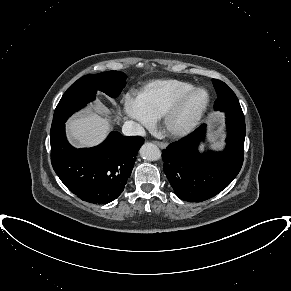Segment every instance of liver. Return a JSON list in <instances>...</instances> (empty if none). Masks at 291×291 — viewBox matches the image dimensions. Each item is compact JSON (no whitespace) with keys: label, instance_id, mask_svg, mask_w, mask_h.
I'll return each instance as SVG.
<instances>
[{"label":"liver","instance_id":"6515ba94","mask_svg":"<svg viewBox=\"0 0 291 291\" xmlns=\"http://www.w3.org/2000/svg\"><path fill=\"white\" fill-rule=\"evenodd\" d=\"M110 129V120L94 111H87L67 122L69 139L78 147H92L101 143Z\"/></svg>","mask_w":291,"mask_h":291}]
</instances>
